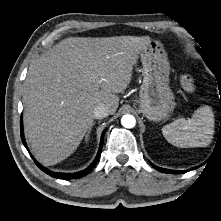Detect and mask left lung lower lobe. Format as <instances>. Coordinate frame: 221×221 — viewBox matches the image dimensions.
Returning a JSON list of instances; mask_svg holds the SVG:
<instances>
[{
	"label": "left lung lower lobe",
	"instance_id": "obj_1",
	"mask_svg": "<svg viewBox=\"0 0 221 221\" xmlns=\"http://www.w3.org/2000/svg\"><path fill=\"white\" fill-rule=\"evenodd\" d=\"M220 119H221V118H220ZM151 165H152L156 170H158V171H160V172H164V173H185V172H188V171H190V170L195 169V168H193V169L186 170V171H172V170H167V169H164V168L157 167V166L153 165L152 163H151Z\"/></svg>",
	"mask_w": 221,
	"mask_h": 221
}]
</instances>
